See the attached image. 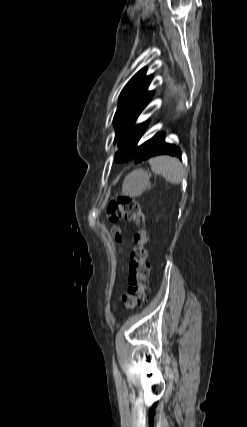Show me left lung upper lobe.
<instances>
[{"label": "left lung upper lobe", "mask_w": 247, "mask_h": 427, "mask_svg": "<svg viewBox=\"0 0 247 427\" xmlns=\"http://www.w3.org/2000/svg\"><path fill=\"white\" fill-rule=\"evenodd\" d=\"M146 68L141 69L123 88L118 108L114 116L115 140L118 143L116 162L129 161L134 158L138 149L137 143L147 128L146 123L134 126L139 114L153 96L147 88L152 75L146 76Z\"/></svg>", "instance_id": "obj_1"}]
</instances>
